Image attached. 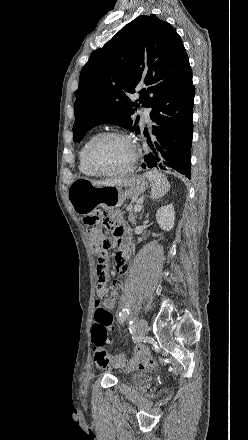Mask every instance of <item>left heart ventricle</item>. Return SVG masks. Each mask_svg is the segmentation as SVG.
Listing matches in <instances>:
<instances>
[{
    "instance_id": "obj_1",
    "label": "left heart ventricle",
    "mask_w": 248,
    "mask_h": 440,
    "mask_svg": "<svg viewBox=\"0 0 248 440\" xmlns=\"http://www.w3.org/2000/svg\"><path fill=\"white\" fill-rule=\"evenodd\" d=\"M131 156V148L126 140L111 137L102 140L94 148L92 163L99 171L116 172L129 164Z\"/></svg>"
}]
</instances>
